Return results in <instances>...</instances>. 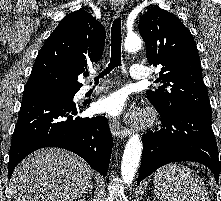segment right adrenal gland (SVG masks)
<instances>
[{
    "instance_id": "obj_1",
    "label": "right adrenal gland",
    "mask_w": 221,
    "mask_h": 201,
    "mask_svg": "<svg viewBox=\"0 0 221 201\" xmlns=\"http://www.w3.org/2000/svg\"><path fill=\"white\" fill-rule=\"evenodd\" d=\"M87 193H89V195H92V186L89 188V190H88V191H86V193H85V194H87Z\"/></svg>"
}]
</instances>
